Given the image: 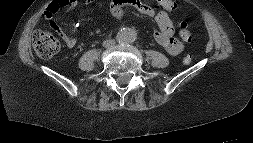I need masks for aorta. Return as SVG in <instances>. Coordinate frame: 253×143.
Instances as JSON below:
<instances>
[{"instance_id":"1","label":"aorta","mask_w":253,"mask_h":143,"mask_svg":"<svg viewBox=\"0 0 253 143\" xmlns=\"http://www.w3.org/2000/svg\"><path fill=\"white\" fill-rule=\"evenodd\" d=\"M137 33L131 28H123L117 34L120 43H132L136 40Z\"/></svg>"}]
</instances>
